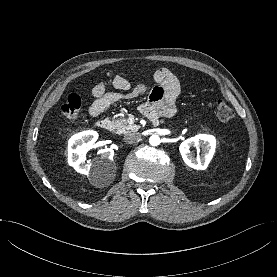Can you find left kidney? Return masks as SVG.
<instances>
[{"label": "left kidney", "instance_id": "left-kidney-1", "mask_svg": "<svg viewBox=\"0 0 277 277\" xmlns=\"http://www.w3.org/2000/svg\"><path fill=\"white\" fill-rule=\"evenodd\" d=\"M201 147V156L194 154L190 151V148ZM216 148V140L211 135L199 134L191 137L180 144L179 151L184 162L191 168L197 170H204L210 163Z\"/></svg>", "mask_w": 277, "mask_h": 277}]
</instances>
